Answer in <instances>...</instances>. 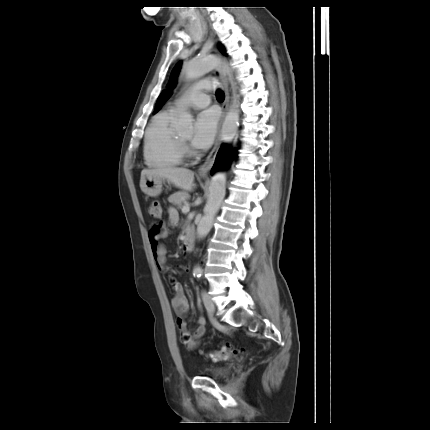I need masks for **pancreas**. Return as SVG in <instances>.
Masks as SVG:
<instances>
[{
    "mask_svg": "<svg viewBox=\"0 0 430 430\" xmlns=\"http://www.w3.org/2000/svg\"><path fill=\"white\" fill-rule=\"evenodd\" d=\"M190 195L184 191H178L169 196L168 201L177 206V208L182 207V203L189 199Z\"/></svg>",
    "mask_w": 430,
    "mask_h": 430,
    "instance_id": "1",
    "label": "pancreas"
}]
</instances>
